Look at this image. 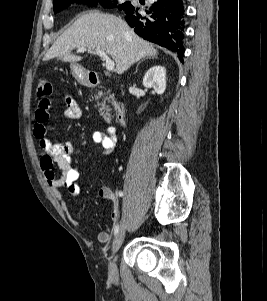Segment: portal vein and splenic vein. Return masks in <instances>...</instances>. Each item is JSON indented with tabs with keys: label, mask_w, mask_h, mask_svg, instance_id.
<instances>
[{
	"label": "portal vein and splenic vein",
	"mask_w": 267,
	"mask_h": 301,
	"mask_svg": "<svg viewBox=\"0 0 267 301\" xmlns=\"http://www.w3.org/2000/svg\"><path fill=\"white\" fill-rule=\"evenodd\" d=\"M79 51H86V48H85V47H80V48H79ZM95 53H96L99 57H101L103 60L106 61V69H107L108 71H113V69H114V67H115L114 61L111 60V59L107 56V54H106L104 51H102V50H96Z\"/></svg>",
	"instance_id": "portal-vein-and-splenic-vein-1"
}]
</instances>
